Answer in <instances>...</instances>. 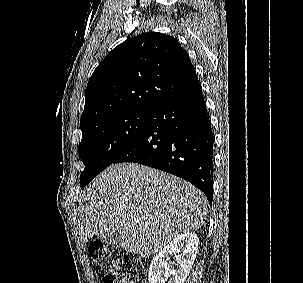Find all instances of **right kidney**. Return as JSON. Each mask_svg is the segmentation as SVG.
Segmentation results:
<instances>
[{"mask_svg": "<svg viewBox=\"0 0 303 283\" xmlns=\"http://www.w3.org/2000/svg\"><path fill=\"white\" fill-rule=\"evenodd\" d=\"M198 245L199 239L192 232L177 235L152 259L148 273L149 283H184L195 261ZM172 256L177 262L174 270H171Z\"/></svg>", "mask_w": 303, "mask_h": 283, "instance_id": "1", "label": "right kidney"}]
</instances>
